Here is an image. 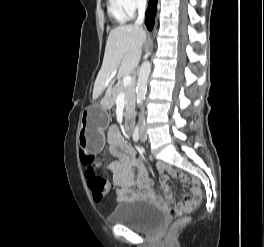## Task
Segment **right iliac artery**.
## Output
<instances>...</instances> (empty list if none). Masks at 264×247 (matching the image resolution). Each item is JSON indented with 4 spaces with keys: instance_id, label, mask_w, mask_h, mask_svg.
Here are the masks:
<instances>
[{
    "instance_id": "obj_1",
    "label": "right iliac artery",
    "mask_w": 264,
    "mask_h": 247,
    "mask_svg": "<svg viewBox=\"0 0 264 247\" xmlns=\"http://www.w3.org/2000/svg\"><path fill=\"white\" fill-rule=\"evenodd\" d=\"M139 137H140L139 128H138V126H136V128L133 132V140L137 142L139 140Z\"/></svg>"
}]
</instances>
